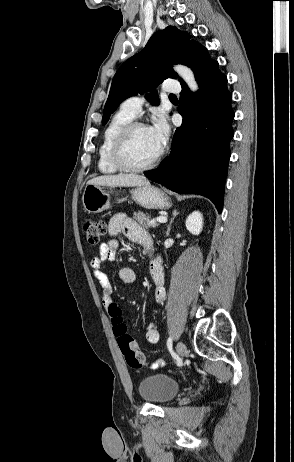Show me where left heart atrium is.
<instances>
[{"label": "left heart atrium", "mask_w": 294, "mask_h": 462, "mask_svg": "<svg viewBox=\"0 0 294 462\" xmlns=\"http://www.w3.org/2000/svg\"><path fill=\"white\" fill-rule=\"evenodd\" d=\"M150 133L161 151L165 147L169 137V126L164 118H157L153 125L149 127Z\"/></svg>", "instance_id": "39dd6f15"}]
</instances>
